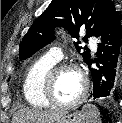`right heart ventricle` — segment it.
Returning a JSON list of instances; mask_svg holds the SVG:
<instances>
[{"label":"right heart ventricle","mask_w":122,"mask_h":123,"mask_svg":"<svg viewBox=\"0 0 122 123\" xmlns=\"http://www.w3.org/2000/svg\"><path fill=\"white\" fill-rule=\"evenodd\" d=\"M56 63L45 55L35 61L27 70L23 82V94L27 103L31 106L38 108L50 106L44 96V82L48 71Z\"/></svg>","instance_id":"obj_1"}]
</instances>
